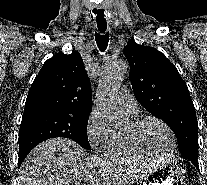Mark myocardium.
Listing matches in <instances>:
<instances>
[{"label":"myocardium","instance_id":"1","mask_svg":"<svg viewBox=\"0 0 207 185\" xmlns=\"http://www.w3.org/2000/svg\"><path fill=\"white\" fill-rule=\"evenodd\" d=\"M149 121H155V122L161 124L167 130V132L169 133V135L171 137L172 146H171V150H170L169 154L166 157L156 158V157L152 156L151 154H149L147 152V150L144 148V146L141 144V142L139 140V137H138L139 130L141 129V127L145 123H147ZM125 133H126L127 140L129 142V144L131 145V147L150 161L157 162V163H165V162L171 160L173 158V156L175 155L176 148H177L176 135H175L173 129L171 128V126L166 121H164L163 119H161L159 117H156V116L139 117L130 123V125L126 129Z\"/></svg>","mask_w":207,"mask_h":185}]
</instances>
